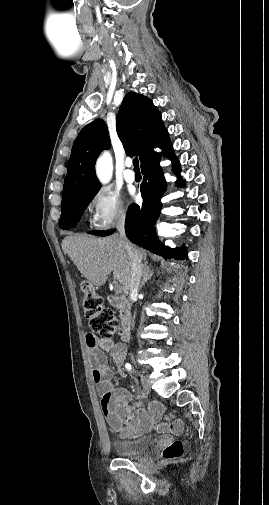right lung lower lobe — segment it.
<instances>
[{
    "instance_id": "right-lung-lower-lobe-1",
    "label": "right lung lower lobe",
    "mask_w": 269,
    "mask_h": 505,
    "mask_svg": "<svg viewBox=\"0 0 269 505\" xmlns=\"http://www.w3.org/2000/svg\"><path fill=\"white\" fill-rule=\"evenodd\" d=\"M162 149L164 150V155L169 157L173 162V171L178 175V184L183 186L184 181L180 176L179 162L173 154L170 143ZM159 163V156L154 154L141 165L144 175V180L140 186L143 204L141 206L137 204L129 206L126 215L125 232L130 241L155 254L169 258L187 259L186 250L182 248L171 249L168 246L162 245L156 232L153 230V226L160 215V199L166 190V181Z\"/></svg>"
}]
</instances>
